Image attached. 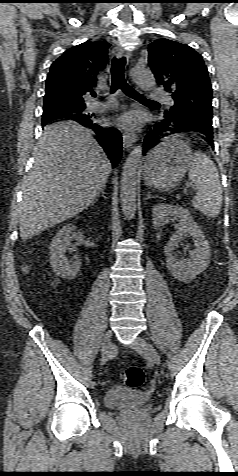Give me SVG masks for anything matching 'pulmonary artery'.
<instances>
[{
    "label": "pulmonary artery",
    "mask_w": 238,
    "mask_h": 476,
    "mask_svg": "<svg viewBox=\"0 0 238 476\" xmlns=\"http://www.w3.org/2000/svg\"><path fill=\"white\" fill-rule=\"evenodd\" d=\"M149 98L151 100H156V101H163L167 104H172V99L170 96H168L165 92L159 89H153L152 92L149 95ZM115 104V101L113 99H110L105 102H100V101H95L91 104V109L95 111H104L110 107H112Z\"/></svg>",
    "instance_id": "pulmonary-artery-1"
}]
</instances>
